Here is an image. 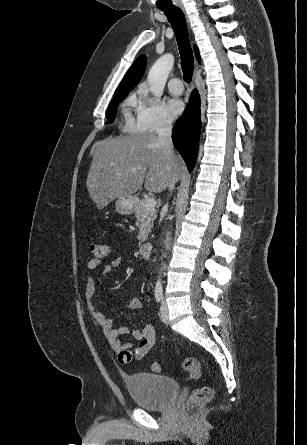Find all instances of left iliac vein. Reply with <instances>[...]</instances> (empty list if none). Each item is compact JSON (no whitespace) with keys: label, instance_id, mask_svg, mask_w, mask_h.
<instances>
[{"label":"left iliac vein","instance_id":"4c4485c4","mask_svg":"<svg viewBox=\"0 0 307 445\" xmlns=\"http://www.w3.org/2000/svg\"><path fill=\"white\" fill-rule=\"evenodd\" d=\"M160 315L161 319L164 323H168L169 321V312L166 301L163 299L160 307Z\"/></svg>","mask_w":307,"mask_h":445}]
</instances>
